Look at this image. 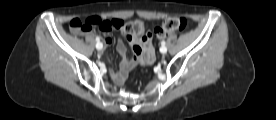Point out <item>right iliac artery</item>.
<instances>
[{
  "mask_svg": "<svg viewBox=\"0 0 276 120\" xmlns=\"http://www.w3.org/2000/svg\"><path fill=\"white\" fill-rule=\"evenodd\" d=\"M96 41H97V43H99L100 42V38L99 37H96ZM102 47H103V45H102ZM101 47V48H102Z\"/></svg>",
  "mask_w": 276,
  "mask_h": 120,
  "instance_id": "82829eb1",
  "label": "right iliac artery"
}]
</instances>
